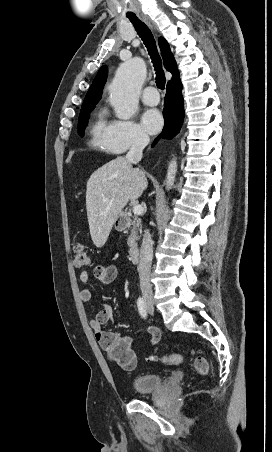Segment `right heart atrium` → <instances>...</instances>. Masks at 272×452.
<instances>
[{"instance_id":"d8ad5b80","label":"right heart atrium","mask_w":272,"mask_h":452,"mask_svg":"<svg viewBox=\"0 0 272 452\" xmlns=\"http://www.w3.org/2000/svg\"><path fill=\"white\" fill-rule=\"evenodd\" d=\"M144 130L132 120L112 122L107 143L112 152L122 153L130 148L143 147L148 143Z\"/></svg>"}]
</instances>
